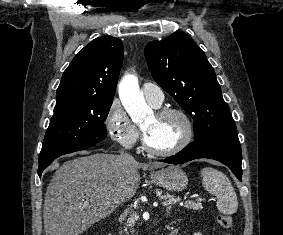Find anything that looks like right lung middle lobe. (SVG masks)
I'll use <instances>...</instances> for the list:
<instances>
[{"mask_svg":"<svg viewBox=\"0 0 283 235\" xmlns=\"http://www.w3.org/2000/svg\"><path fill=\"white\" fill-rule=\"evenodd\" d=\"M113 99L75 97L56 102L44 137L39 162L56 151L78 142L106 136V120Z\"/></svg>","mask_w":283,"mask_h":235,"instance_id":"obj_1","label":"right lung middle lobe"}]
</instances>
